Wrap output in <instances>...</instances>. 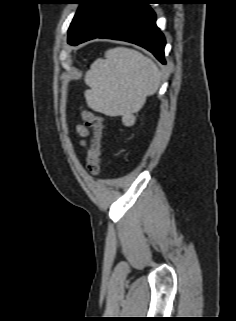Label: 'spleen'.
Listing matches in <instances>:
<instances>
[{
    "label": "spleen",
    "instance_id": "3e777b00",
    "mask_svg": "<svg viewBox=\"0 0 236 321\" xmlns=\"http://www.w3.org/2000/svg\"><path fill=\"white\" fill-rule=\"evenodd\" d=\"M87 104L108 116L135 113L160 84L155 63L139 52L117 47L96 60L85 75Z\"/></svg>",
    "mask_w": 236,
    "mask_h": 321
}]
</instances>
